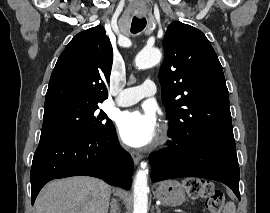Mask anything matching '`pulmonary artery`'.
<instances>
[{
  "label": "pulmonary artery",
  "instance_id": "obj_1",
  "mask_svg": "<svg viewBox=\"0 0 270 213\" xmlns=\"http://www.w3.org/2000/svg\"><path fill=\"white\" fill-rule=\"evenodd\" d=\"M156 92V83L152 80H145L140 86L122 90L116 100V103L122 107L130 106L145 98L155 95Z\"/></svg>",
  "mask_w": 270,
  "mask_h": 213
}]
</instances>
